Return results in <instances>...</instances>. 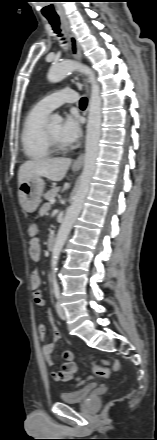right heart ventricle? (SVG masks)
Returning a JSON list of instances; mask_svg holds the SVG:
<instances>
[{"mask_svg": "<svg viewBox=\"0 0 157 440\" xmlns=\"http://www.w3.org/2000/svg\"><path fill=\"white\" fill-rule=\"evenodd\" d=\"M48 114L33 107L25 116L21 143L25 154L30 158H43L51 155L53 150L45 136V120Z\"/></svg>", "mask_w": 157, "mask_h": 440, "instance_id": "obj_1", "label": "right heart ventricle"}]
</instances>
